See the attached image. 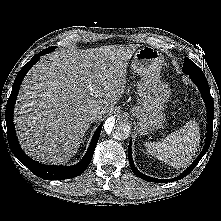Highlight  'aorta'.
Wrapping results in <instances>:
<instances>
[{
    "label": "aorta",
    "mask_w": 221,
    "mask_h": 221,
    "mask_svg": "<svg viewBox=\"0 0 221 221\" xmlns=\"http://www.w3.org/2000/svg\"><path fill=\"white\" fill-rule=\"evenodd\" d=\"M104 130L115 140H124L130 136L131 124L125 116H112L105 121Z\"/></svg>",
    "instance_id": "obj_1"
}]
</instances>
